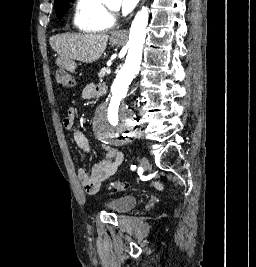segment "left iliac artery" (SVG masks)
Segmentation results:
<instances>
[{
  "label": "left iliac artery",
  "mask_w": 256,
  "mask_h": 267,
  "mask_svg": "<svg viewBox=\"0 0 256 267\" xmlns=\"http://www.w3.org/2000/svg\"><path fill=\"white\" fill-rule=\"evenodd\" d=\"M136 169V166L135 165H132L131 166V170H135Z\"/></svg>",
  "instance_id": "1"
}]
</instances>
